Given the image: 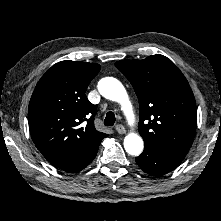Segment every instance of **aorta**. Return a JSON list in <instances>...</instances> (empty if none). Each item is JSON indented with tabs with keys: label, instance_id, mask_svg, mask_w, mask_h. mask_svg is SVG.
Wrapping results in <instances>:
<instances>
[{
	"label": "aorta",
	"instance_id": "aorta-1",
	"mask_svg": "<svg viewBox=\"0 0 221 221\" xmlns=\"http://www.w3.org/2000/svg\"><path fill=\"white\" fill-rule=\"evenodd\" d=\"M100 94L112 101L118 102L129 122H133L134 113L127 91L122 83L113 78L105 77L98 83ZM144 143L142 138L136 133H129L124 138V148L126 152L133 156H138L143 151Z\"/></svg>",
	"mask_w": 221,
	"mask_h": 221
}]
</instances>
